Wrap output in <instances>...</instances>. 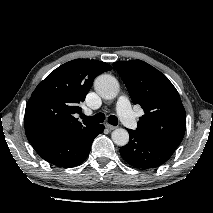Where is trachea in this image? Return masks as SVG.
<instances>
[{"label":"trachea","instance_id":"trachea-1","mask_svg":"<svg viewBox=\"0 0 213 213\" xmlns=\"http://www.w3.org/2000/svg\"><path fill=\"white\" fill-rule=\"evenodd\" d=\"M82 119L91 122L102 123L105 119V115L103 113H98L94 116L82 115ZM108 123L116 126L118 124V118L115 115H111L108 117Z\"/></svg>","mask_w":213,"mask_h":213}]
</instances>
